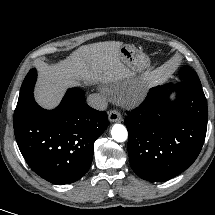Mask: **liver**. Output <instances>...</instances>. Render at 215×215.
<instances>
[{
  "instance_id": "liver-1",
  "label": "liver",
  "mask_w": 215,
  "mask_h": 215,
  "mask_svg": "<svg viewBox=\"0 0 215 215\" xmlns=\"http://www.w3.org/2000/svg\"><path fill=\"white\" fill-rule=\"evenodd\" d=\"M122 42H98L79 47L66 59L57 63H43L41 79L36 89V101L45 108L54 107L64 87L81 82H130L134 73L120 60Z\"/></svg>"
}]
</instances>
